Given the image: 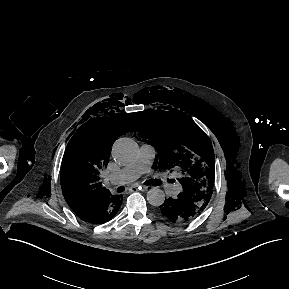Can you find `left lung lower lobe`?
I'll list each match as a JSON object with an SVG mask.
<instances>
[{"label":"left lung lower lobe","mask_w":289,"mask_h":289,"mask_svg":"<svg viewBox=\"0 0 289 289\" xmlns=\"http://www.w3.org/2000/svg\"><path fill=\"white\" fill-rule=\"evenodd\" d=\"M204 209V206L183 193L176 198L165 199L160 206L161 214L173 223L189 222L200 215Z\"/></svg>","instance_id":"obj_1"}]
</instances>
